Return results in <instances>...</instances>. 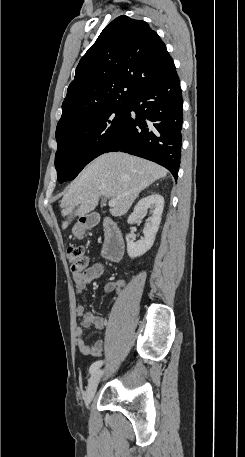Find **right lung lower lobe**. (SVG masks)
I'll return each mask as SVG.
<instances>
[{
	"label": "right lung lower lobe",
	"mask_w": 245,
	"mask_h": 457,
	"mask_svg": "<svg viewBox=\"0 0 245 457\" xmlns=\"http://www.w3.org/2000/svg\"><path fill=\"white\" fill-rule=\"evenodd\" d=\"M182 107L180 82L175 70L151 79L130 100L128 116L106 152L122 151L154 161L177 179Z\"/></svg>",
	"instance_id": "obj_1"
}]
</instances>
